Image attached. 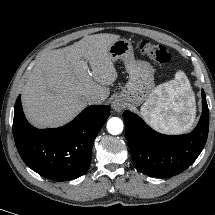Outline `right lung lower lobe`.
<instances>
[{
    "mask_svg": "<svg viewBox=\"0 0 215 215\" xmlns=\"http://www.w3.org/2000/svg\"><path fill=\"white\" fill-rule=\"evenodd\" d=\"M110 114L109 106L92 105L73 121L55 129H37L26 120L16 100L13 135L25 164L54 181H68L89 168L94 139Z\"/></svg>",
    "mask_w": 215,
    "mask_h": 215,
    "instance_id": "1",
    "label": "right lung lower lobe"
}]
</instances>
